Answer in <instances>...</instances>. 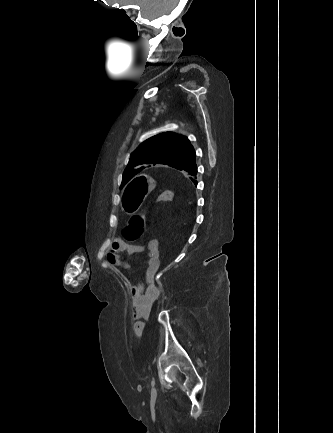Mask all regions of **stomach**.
<instances>
[{"mask_svg":"<svg viewBox=\"0 0 333 433\" xmlns=\"http://www.w3.org/2000/svg\"><path fill=\"white\" fill-rule=\"evenodd\" d=\"M154 187V180L148 175L137 176L130 180L123 190L122 211L127 215L138 212Z\"/></svg>","mask_w":333,"mask_h":433,"instance_id":"obj_1","label":"stomach"}]
</instances>
